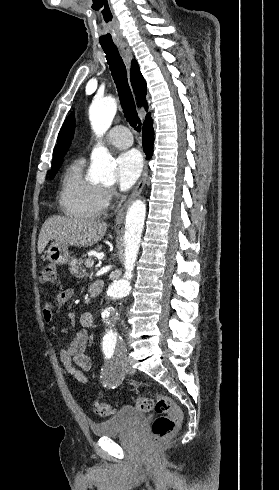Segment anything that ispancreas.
Segmentation results:
<instances>
[{
    "instance_id": "1",
    "label": "pancreas",
    "mask_w": 279,
    "mask_h": 490,
    "mask_svg": "<svg viewBox=\"0 0 279 490\" xmlns=\"http://www.w3.org/2000/svg\"><path fill=\"white\" fill-rule=\"evenodd\" d=\"M82 260H72V262H69L70 268H68L70 274L72 276H75V278H82L83 272H82Z\"/></svg>"
}]
</instances>
